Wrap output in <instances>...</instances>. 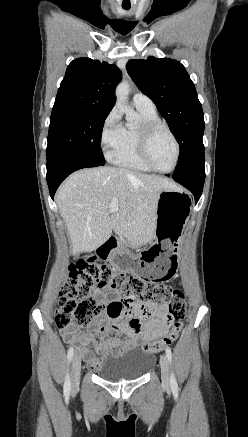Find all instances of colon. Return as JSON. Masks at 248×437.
<instances>
[{
	"label": "colon",
	"instance_id": "colon-1",
	"mask_svg": "<svg viewBox=\"0 0 248 437\" xmlns=\"http://www.w3.org/2000/svg\"><path fill=\"white\" fill-rule=\"evenodd\" d=\"M102 258L91 255L69 267L59 294L56 326L65 329L93 325L110 305L95 299L93 293L103 285H108L114 292L128 294L131 299L166 304L170 330L164 336L144 343L142 349L145 352L157 353L174 343L186 313L184 294L169 285L145 286L144 279H135L134 275L126 272H114L112 266L101 262Z\"/></svg>",
	"mask_w": 248,
	"mask_h": 437
}]
</instances>
